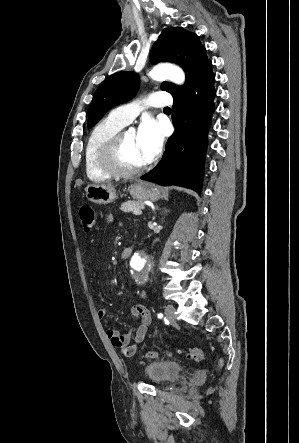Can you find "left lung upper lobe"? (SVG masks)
Returning a JSON list of instances; mask_svg holds the SVG:
<instances>
[{
    "mask_svg": "<svg viewBox=\"0 0 299 443\" xmlns=\"http://www.w3.org/2000/svg\"><path fill=\"white\" fill-rule=\"evenodd\" d=\"M151 63L174 62L181 66L186 74L184 86L163 82L161 90L172 96L185 89L201 68L210 60L198 36L181 27L166 28L154 43L150 52ZM139 79L134 72H118L103 81L95 92L90 104L88 128L112 107L131 99L137 92Z\"/></svg>",
    "mask_w": 299,
    "mask_h": 443,
    "instance_id": "obj_1",
    "label": "left lung upper lobe"
}]
</instances>
